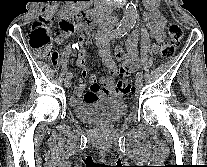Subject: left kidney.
I'll use <instances>...</instances> for the list:
<instances>
[{"mask_svg": "<svg viewBox=\"0 0 207 167\" xmlns=\"http://www.w3.org/2000/svg\"><path fill=\"white\" fill-rule=\"evenodd\" d=\"M154 1L160 2V0H154Z\"/></svg>", "mask_w": 207, "mask_h": 167, "instance_id": "1", "label": "left kidney"}]
</instances>
